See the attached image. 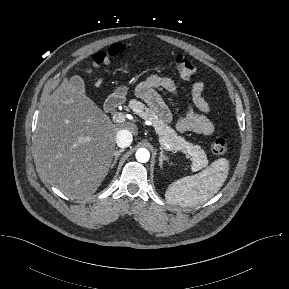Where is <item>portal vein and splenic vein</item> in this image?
Returning <instances> with one entry per match:
<instances>
[{"label": "portal vein and splenic vein", "mask_w": 289, "mask_h": 289, "mask_svg": "<svg viewBox=\"0 0 289 289\" xmlns=\"http://www.w3.org/2000/svg\"><path fill=\"white\" fill-rule=\"evenodd\" d=\"M125 120L126 116L123 113L117 112L113 115V121L116 123H122L125 122ZM159 142L164 149L170 150L169 145L163 139L160 138Z\"/></svg>", "instance_id": "1"}]
</instances>
